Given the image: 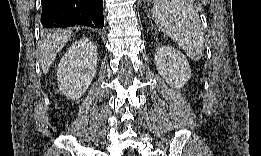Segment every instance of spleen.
Listing matches in <instances>:
<instances>
[{
    "instance_id": "obj_1",
    "label": "spleen",
    "mask_w": 261,
    "mask_h": 156,
    "mask_svg": "<svg viewBox=\"0 0 261 156\" xmlns=\"http://www.w3.org/2000/svg\"><path fill=\"white\" fill-rule=\"evenodd\" d=\"M152 16L157 27L177 43L189 58H201L204 36L198 11L194 9L192 2L155 0Z\"/></svg>"
}]
</instances>
